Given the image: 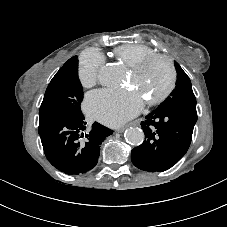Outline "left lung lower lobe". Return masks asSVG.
<instances>
[{
	"label": "left lung lower lobe",
	"instance_id": "obj_1",
	"mask_svg": "<svg viewBox=\"0 0 227 227\" xmlns=\"http://www.w3.org/2000/svg\"><path fill=\"white\" fill-rule=\"evenodd\" d=\"M145 118L141 122L145 140L132 150L131 160L144 171L168 170L187 152L197 112L176 106L156 109Z\"/></svg>",
	"mask_w": 227,
	"mask_h": 227
}]
</instances>
